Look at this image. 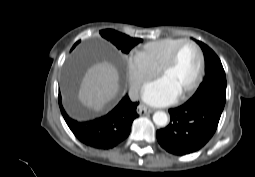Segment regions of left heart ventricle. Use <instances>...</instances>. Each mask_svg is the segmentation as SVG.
<instances>
[{
    "instance_id": "b2bd125f",
    "label": "left heart ventricle",
    "mask_w": 255,
    "mask_h": 177,
    "mask_svg": "<svg viewBox=\"0 0 255 177\" xmlns=\"http://www.w3.org/2000/svg\"><path fill=\"white\" fill-rule=\"evenodd\" d=\"M199 64L200 59L196 48L185 45L181 48L174 66L162 78L166 79L180 94L195 81Z\"/></svg>"
}]
</instances>
